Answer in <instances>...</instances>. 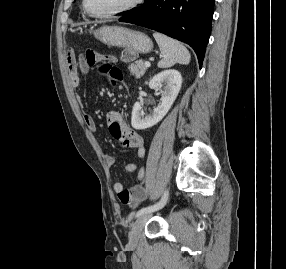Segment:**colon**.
Segmentation results:
<instances>
[{
  "instance_id": "5ec220e1",
  "label": "colon",
  "mask_w": 286,
  "mask_h": 269,
  "mask_svg": "<svg viewBox=\"0 0 286 269\" xmlns=\"http://www.w3.org/2000/svg\"><path fill=\"white\" fill-rule=\"evenodd\" d=\"M121 57H119V62H135L137 59V49H121ZM89 58H94L95 54L92 51L87 53ZM111 73L114 78H119L121 76V72L117 67L111 68ZM115 126L110 128V132L115 140H117L122 147L127 146V142L125 137L120 129L121 121H115Z\"/></svg>"
}]
</instances>
